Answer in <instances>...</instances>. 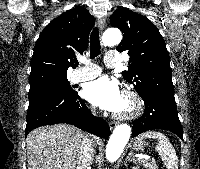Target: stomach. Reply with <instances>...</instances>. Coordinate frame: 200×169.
<instances>
[{"label": "stomach", "mask_w": 200, "mask_h": 169, "mask_svg": "<svg viewBox=\"0 0 200 169\" xmlns=\"http://www.w3.org/2000/svg\"><path fill=\"white\" fill-rule=\"evenodd\" d=\"M145 147V142L142 138H137L135 139L134 143H133V149L137 150V151H141L143 150Z\"/></svg>", "instance_id": "obj_1"}]
</instances>
